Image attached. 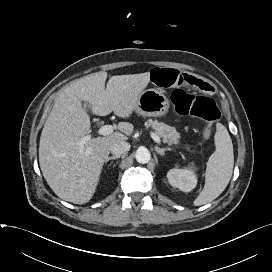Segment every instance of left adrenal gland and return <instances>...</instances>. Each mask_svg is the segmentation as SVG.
<instances>
[{"mask_svg":"<svg viewBox=\"0 0 272 272\" xmlns=\"http://www.w3.org/2000/svg\"><path fill=\"white\" fill-rule=\"evenodd\" d=\"M155 150L157 151V153H159L161 156L165 155V151H170L171 148H159V147H155Z\"/></svg>","mask_w":272,"mask_h":272,"instance_id":"obj_1","label":"left adrenal gland"}]
</instances>
